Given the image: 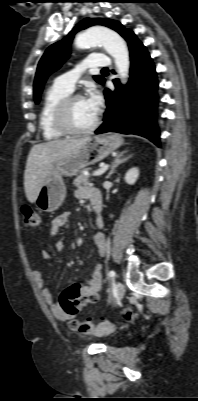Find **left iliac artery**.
<instances>
[{
  "label": "left iliac artery",
  "instance_id": "44dca946",
  "mask_svg": "<svg viewBox=\"0 0 198 401\" xmlns=\"http://www.w3.org/2000/svg\"><path fill=\"white\" fill-rule=\"evenodd\" d=\"M108 275H109V277L114 278L116 276V273H115V271L110 270Z\"/></svg>",
  "mask_w": 198,
  "mask_h": 401
}]
</instances>
